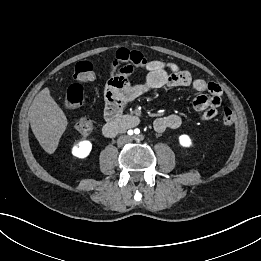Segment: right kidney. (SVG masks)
<instances>
[{
	"label": "right kidney",
	"mask_w": 261,
	"mask_h": 261,
	"mask_svg": "<svg viewBox=\"0 0 261 261\" xmlns=\"http://www.w3.org/2000/svg\"><path fill=\"white\" fill-rule=\"evenodd\" d=\"M92 149V144L90 141L84 140L79 142L72 148V154L78 158L87 157Z\"/></svg>",
	"instance_id": "1"
}]
</instances>
